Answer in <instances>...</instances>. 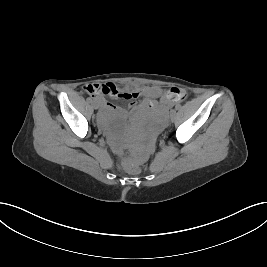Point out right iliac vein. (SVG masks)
Wrapping results in <instances>:
<instances>
[{"mask_svg":"<svg viewBox=\"0 0 267 267\" xmlns=\"http://www.w3.org/2000/svg\"><path fill=\"white\" fill-rule=\"evenodd\" d=\"M92 106L94 109H98V107H99L98 103L95 101L92 102Z\"/></svg>","mask_w":267,"mask_h":267,"instance_id":"obj_1","label":"right iliac vein"}]
</instances>
